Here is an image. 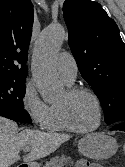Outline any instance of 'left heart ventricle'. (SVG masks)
<instances>
[{
	"label": "left heart ventricle",
	"instance_id": "1",
	"mask_svg": "<svg viewBox=\"0 0 125 167\" xmlns=\"http://www.w3.org/2000/svg\"><path fill=\"white\" fill-rule=\"evenodd\" d=\"M57 104L67 106L70 118L78 128L87 129L93 127L98 121L97 106L94 100L86 94L68 98L65 92Z\"/></svg>",
	"mask_w": 125,
	"mask_h": 167
}]
</instances>
